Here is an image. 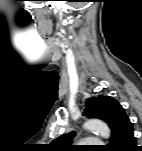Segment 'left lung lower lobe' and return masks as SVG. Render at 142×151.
<instances>
[{
	"mask_svg": "<svg viewBox=\"0 0 142 151\" xmlns=\"http://www.w3.org/2000/svg\"><path fill=\"white\" fill-rule=\"evenodd\" d=\"M111 151H138L136 138L134 137L133 127L123 133L116 143L110 148Z\"/></svg>",
	"mask_w": 142,
	"mask_h": 151,
	"instance_id": "1",
	"label": "left lung lower lobe"
}]
</instances>
